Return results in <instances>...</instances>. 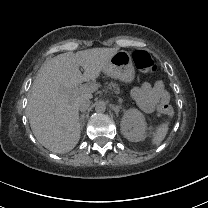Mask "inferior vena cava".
<instances>
[{
	"label": "inferior vena cava",
	"instance_id": "602c4592",
	"mask_svg": "<svg viewBox=\"0 0 208 208\" xmlns=\"http://www.w3.org/2000/svg\"><path fill=\"white\" fill-rule=\"evenodd\" d=\"M78 110L81 112L86 111L90 106L89 98L87 97H79L77 101Z\"/></svg>",
	"mask_w": 208,
	"mask_h": 208
}]
</instances>
